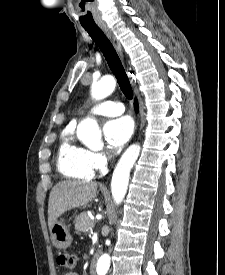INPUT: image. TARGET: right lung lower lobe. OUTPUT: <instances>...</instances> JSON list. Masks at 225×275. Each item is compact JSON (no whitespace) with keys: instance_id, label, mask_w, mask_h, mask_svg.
Masks as SVG:
<instances>
[{"instance_id":"98d812e1","label":"right lung lower lobe","mask_w":225,"mask_h":275,"mask_svg":"<svg viewBox=\"0 0 225 275\" xmlns=\"http://www.w3.org/2000/svg\"><path fill=\"white\" fill-rule=\"evenodd\" d=\"M134 107H135V110L137 111L138 110L137 100H135L134 102Z\"/></svg>"}]
</instances>
